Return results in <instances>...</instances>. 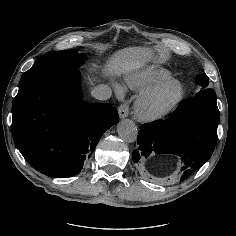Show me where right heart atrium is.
Segmentation results:
<instances>
[{
	"mask_svg": "<svg viewBox=\"0 0 236 236\" xmlns=\"http://www.w3.org/2000/svg\"><path fill=\"white\" fill-rule=\"evenodd\" d=\"M110 84L112 86V90H113V93H114L115 97L118 100H122L124 98V95H125L124 88L114 80H110Z\"/></svg>",
	"mask_w": 236,
	"mask_h": 236,
	"instance_id": "right-heart-atrium-1",
	"label": "right heart atrium"
}]
</instances>
